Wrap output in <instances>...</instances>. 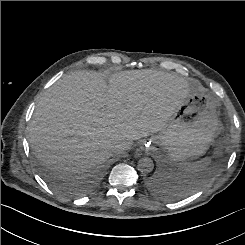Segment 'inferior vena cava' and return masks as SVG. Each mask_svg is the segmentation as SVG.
Here are the masks:
<instances>
[{
    "label": "inferior vena cava",
    "mask_w": 245,
    "mask_h": 245,
    "mask_svg": "<svg viewBox=\"0 0 245 245\" xmlns=\"http://www.w3.org/2000/svg\"><path fill=\"white\" fill-rule=\"evenodd\" d=\"M126 144H117L116 146L113 147V151L115 153H122L126 150Z\"/></svg>",
    "instance_id": "obj_1"
}]
</instances>
